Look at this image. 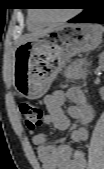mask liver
Masks as SVG:
<instances>
[{
    "label": "liver",
    "instance_id": "1",
    "mask_svg": "<svg viewBox=\"0 0 104 169\" xmlns=\"http://www.w3.org/2000/svg\"><path fill=\"white\" fill-rule=\"evenodd\" d=\"M48 30H50V29H47V30H44V31H41V32H37V33H32V34H29V35L22 37L21 40L19 41V45L28 41V40H31V39L39 36V35H42L43 33H45Z\"/></svg>",
    "mask_w": 104,
    "mask_h": 169
}]
</instances>
